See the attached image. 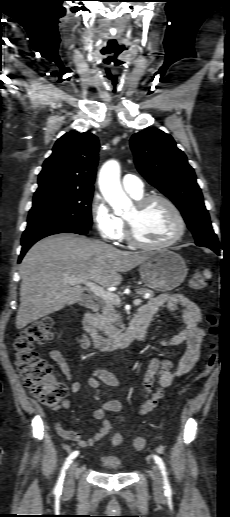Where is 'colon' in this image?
Masks as SVG:
<instances>
[{
    "instance_id": "5ec220e1",
    "label": "colon",
    "mask_w": 230,
    "mask_h": 517,
    "mask_svg": "<svg viewBox=\"0 0 230 517\" xmlns=\"http://www.w3.org/2000/svg\"><path fill=\"white\" fill-rule=\"evenodd\" d=\"M190 285L195 290H202L206 287L207 280L201 271H196L192 275ZM207 322L210 335L213 337L217 336L219 326L215 315L208 314ZM51 327L52 321L48 318L36 320L22 329L13 343L14 363L24 385L39 402L48 407L58 405L68 393L67 387L59 382L54 375L52 365L34 351L36 344L52 339ZM216 362V345L212 343L207 360L200 371L193 377V381L206 377L212 371ZM187 387L188 384L179 391V394L184 393ZM111 441L112 443H117L120 441V437L112 435ZM132 443L136 450H142L146 445L142 437H135Z\"/></svg>"
}]
</instances>
